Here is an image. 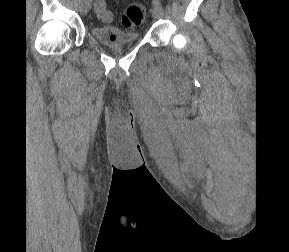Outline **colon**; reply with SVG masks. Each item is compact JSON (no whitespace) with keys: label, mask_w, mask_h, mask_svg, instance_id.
<instances>
[{"label":"colon","mask_w":289,"mask_h":252,"mask_svg":"<svg viewBox=\"0 0 289 252\" xmlns=\"http://www.w3.org/2000/svg\"><path fill=\"white\" fill-rule=\"evenodd\" d=\"M94 10L103 21H110L112 15L107 9L105 0H95ZM145 16V8L141 4H130L122 14L121 23L124 27H135L142 23Z\"/></svg>","instance_id":"5ec220e1"}]
</instances>
